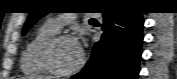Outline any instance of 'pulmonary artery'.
Instances as JSON below:
<instances>
[{
	"label": "pulmonary artery",
	"instance_id": "e3ab8cb5",
	"mask_svg": "<svg viewBox=\"0 0 177 79\" xmlns=\"http://www.w3.org/2000/svg\"><path fill=\"white\" fill-rule=\"evenodd\" d=\"M77 14H60L55 19H50L47 24L55 30H60L64 25L76 20Z\"/></svg>",
	"mask_w": 177,
	"mask_h": 79
}]
</instances>
